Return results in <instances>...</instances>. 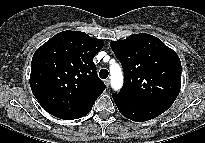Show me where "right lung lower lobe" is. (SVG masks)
Segmentation results:
<instances>
[{
  "label": "right lung lower lobe",
  "mask_w": 205,
  "mask_h": 143,
  "mask_svg": "<svg viewBox=\"0 0 205 143\" xmlns=\"http://www.w3.org/2000/svg\"><path fill=\"white\" fill-rule=\"evenodd\" d=\"M93 106V105H92ZM92 106H90L88 109H86L83 113L81 114H78V115H62V116H57L58 118L60 119H64V120H74V119H78L80 117H83L85 115H87L91 109H92Z\"/></svg>",
  "instance_id": "1"
}]
</instances>
